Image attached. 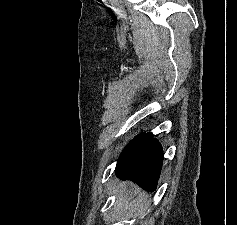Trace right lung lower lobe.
<instances>
[{"instance_id": "98d812e1", "label": "right lung lower lobe", "mask_w": 237, "mask_h": 225, "mask_svg": "<svg viewBox=\"0 0 237 225\" xmlns=\"http://www.w3.org/2000/svg\"><path fill=\"white\" fill-rule=\"evenodd\" d=\"M163 163V150L152 134L142 133L124 148L115 169L121 180H131L147 191L157 188Z\"/></svg>"}]
</instances>
